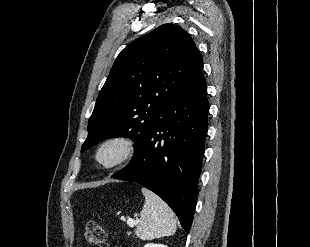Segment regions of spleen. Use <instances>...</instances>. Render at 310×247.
I'll use <instances>...</instances> for the list:
<instances>
[{"mask_svg": "<svg viewBox=\"0 0 310 247\" xmlns=\"http://www.w3.org/2000/svg\"><path fill=\"white\" fill-rule=\"evenodd\" d=\"M145 204L140 213L136 234L142 240L171 236L176 232L175 215L171 208L156 194L142 188Z\"/></svg>", "mask_w": 310, "mask_h": 247, "instance_id": "obj_1", "label": "spleen"}]
</instances>
